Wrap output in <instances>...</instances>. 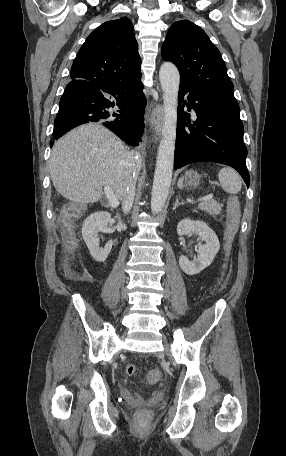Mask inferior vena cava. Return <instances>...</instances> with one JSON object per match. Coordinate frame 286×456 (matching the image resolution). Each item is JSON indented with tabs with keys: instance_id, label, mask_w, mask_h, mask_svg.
I'll list each match as a JSON object with an SVG mask.
<instances>
[{
	"instance_id": "602c4592",
	"label": "inferior vena cava",
	"mask_w": 286,
	"mask_h": 456,
	"mask_svg": "<svg viewBox=\"0 0 286 456\" xmlns=\"http://www.w3.org/2000/svg\"><path fill=\"white\" fill-rule=\"evenodd\" d=\"M135 171H137L136 168H135ZM134 196H135V179H133L132 183L127 188V191L122 198V209L125 214L130 212L132 205H133Z\"/></svg>"
}]
</instances>
